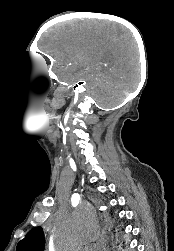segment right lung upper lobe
<instances>
[{"label":"right lung upper lobe","instance_id":"right-lung-upper-lobe-1","mask_svg":"<svg viewBox=\"0 0 174 251\" xmlns=\"http://www.w3.org/2000/svg\"><path fill=\"white\" fill-rule=\"evenodd\" d=\"M44 234L41 227L31 229L18 244L16 251H43Z\"/></svg>","mask_w":174,"mask_h":251}]
</instances>
